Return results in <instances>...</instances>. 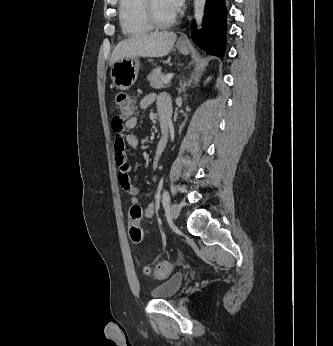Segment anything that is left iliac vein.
I'll return each mask as SVG.
<instances>
[{
	"label": "left iliac vein",
	"mask_w": 333,
	"mask_h": 346,
	"mask_svg": "<svg viewBox=\"0 0 333 346\" xmlns=\"http://www.w3.org/2000/svg\"><path fill=\"white\" fill-rule=\"evenodd\" d=\"M181 208L178 204L172 203L169 208V216L171 220H176L180 215Z\"/></svg>",
	"instance_id": "obj_1"
}]
</instances>
